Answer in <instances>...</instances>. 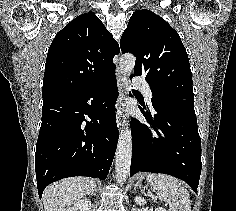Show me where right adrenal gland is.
Here are the masks:
<instances>
[{
    "mask_svg": "<svg viewBox=\"0 0 236 211\" xmlns=\"http://www.w3.org/2000/svg\"><path fill=\"white\" fill-rule=\"evenodd\" d=\"M95 192H97V186H96V184H94V188H93L92 192L90 193V195H93Z\"/></svg>",
    "mask_w": 236,
    "mask_h": 211,
    "instance_id": "1",
    "label": "right adrenal gland"
}]
</instances>
